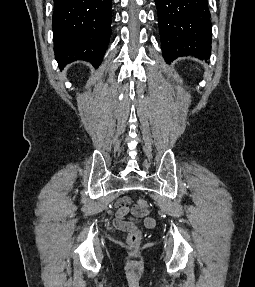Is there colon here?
Masks as SVG:
<instances>
[{
    "label": "colon",
    "instance_id": "1",
    "mask_svg": "<svg viewBox=\"0 0 255 287\" xmlns=\"http://www.w3.org/2000/svg\"><path fill=\"white\" fill-rule=\"evenodd\" d=\"M137 205L139 207V209L141 210H146L148 208V204L145 200H138ZM141 232L139 230L136 231H132L129 233L128 237H127V241L130 245H136L140 242L141 240Z\"/></svg>",
    "mask_w": 255,
    "mask_h": 287
}]
</instances>
